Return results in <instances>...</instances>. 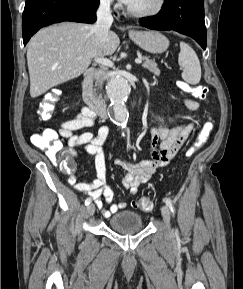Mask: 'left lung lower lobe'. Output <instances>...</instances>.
I'll list each match as a JSON object with an SVG mask.
<instances>
[{
	"mask_svg": "<svg viewBox=\"0 0 243 289\" xmlns=\"http://www.w3.org/2000/svg\"><path fill=\"white\" fill-rule=\"evenodd\" d=\"M141 26L154 30H174L195 39L206 48L203 0H165L160 12L139 20Z\"/></svg>",
	"mask_w": 243,
	"mask_h": 289,
	"instance_id": "left-lung-lower-lobe-1",
	"label": "left lung lower lobe"
}]
</instances>
